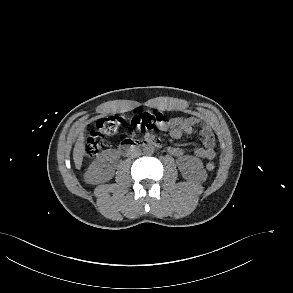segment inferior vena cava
Masks as SVG:
<instances>
[{"mask_svg":"<svg viewBox=\"0 0 293 293\" xmlns=\"http://www.w3.org/2000/svg\"><path fill=\"white\" fill-rule=\"evenodd\" d=\"M140 155H141V150L137 147L132 148L128 153V156L131 158H136V157H139Z\"/></svg>","mask_w":293,"mask_h":293,"instance_id":"1","label":"inferior vena cava"}]
</instances>
